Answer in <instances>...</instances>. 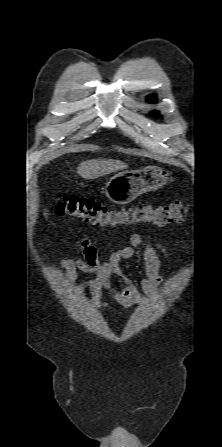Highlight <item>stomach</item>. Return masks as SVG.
I'll use <instances>...</instances> for the list:
<instances>
[{
    "label": "stomach",
    "instance_id": "1",
    "mask_svg": "<svg viewBox=\"0 0 222 447\" xmlns=\"http://www.w3.org/2000/svg\"><path fill=\"white\" fill-rule=\"evenodd\" d=\"M169 171L158 166H147L135 171L115 174L106 184L107 198L116 204H128L143 193L163 187L169 179Z\"/></svg>",
    "mask_w": 222,
    "mask_h": 447
}]
</instances>
